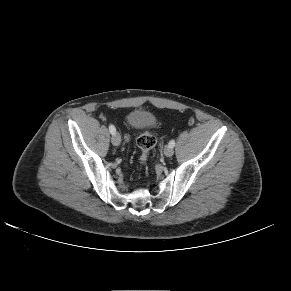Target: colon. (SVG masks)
<instances>
[{"mask_svg":"<svg viewBox=\"0 0 291 291\" xmlns=\"http://www.w3.org/2000/svg\"><path fill=\"white\" fill-rule=\"evenodd\" d=\"M156 144V138L150 132L145 131L137 138V145L141 150L140 162L142 165L149 160V153Z\"/></svg>","mask_w":291,"mask_h":291,"instance_id":"1","label":"colon"}]
</instances>
